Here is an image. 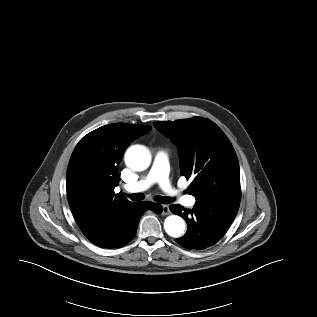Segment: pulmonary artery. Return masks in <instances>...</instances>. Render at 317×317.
<instances>
[{"mask_svg":"<svg viewBox=\"0 0 317 317\" xmlns=\"http://www.w3.org/2000/svg\"><path fill=\"white\" fill-rule=\"evenodd\" d=\"M159 184L160 187L172 197L173 200L191 207L196 203V198L192 195H182L181 192L172 187L169 181V159L166 151L159 150L155 154L152 167L148 174L139 181L125 187L128 193L142 192L153 184Z\"/></svg>","mask_w":317,"mask_h":317,"instance_id":"1","label":"pulmonary artery"}]
</instances>
